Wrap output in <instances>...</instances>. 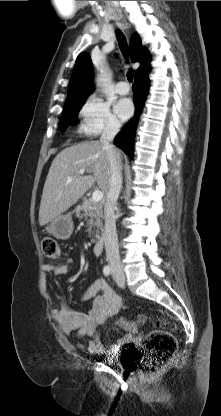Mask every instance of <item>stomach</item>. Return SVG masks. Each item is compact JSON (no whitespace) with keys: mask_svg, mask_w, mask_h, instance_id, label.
<instances>
[{"mask_svg":"<svg viewBox=\"0 0 221 416\" xmlns=\"http://www.w3.org/2000/svg\"><path fill=\"white\" fill-rule=\"evenodd\" d=\"M73 230L74 224L70 214L59 215L53 219L46 227V231L50 235L61 240L69 239L73 233Z\"/></svg>","mask_w":221,"mask_h":416,"instance_id":"0dacf381","label":"stomach"}]
</instances>
